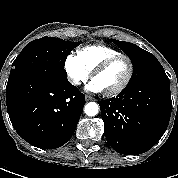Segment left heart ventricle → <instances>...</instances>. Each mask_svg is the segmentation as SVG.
Here are the masks:
<instances>
[{
    "mask_svg": "<svg viewBox=\"0 0 178 178\" xmlns=\"http://www.w3.org/2000/svg\"><path fill=\"white\" fill-rule=\"evenodd\" d=\"M128 73V64L125 59H120L109 66L104 72L95 77L94 81L102 91H110L123 83Z\"/></svg>",
    "mask_w": 178,
    "mask_h": 178,
    "instance_id": "left-heart-ventricle-1",
    "label": "left heart ventricle"
}]
</instances>
